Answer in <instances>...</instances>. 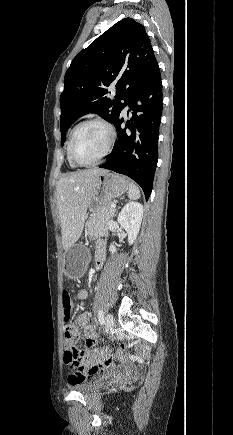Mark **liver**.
<instances>
[{"instance_id": "obj_1", "label": "liver", "mask_w": 233, "mask_h": 435, "mask_svg": "<svg viewBox=\"0 0 233 435\" xmlns=\"http://www.w3.org/2000/svg\"><path fill=\"white\" fill-rule=\"evenodd\" d=\"M105 172L106 170L98 168L80 170L58 181L56 198L64 250L80 238L97 177Z\"/></svg>"}]
</instances>
